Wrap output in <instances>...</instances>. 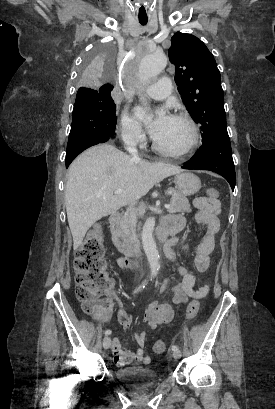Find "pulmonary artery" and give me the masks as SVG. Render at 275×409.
I'll return each mask as SVG.
<instances>
[{"label": "pulmonary artery", "instance_id": "obj_1", "mask_svg": "<svg viewBox=\"0 0 275 409\" xmlns=\"http://www.w3.org/2000/svg\"><path fill=\"white\" fill-rule=\"evenodd\" d=\"M169 77L165 76L164 79L159 81V85H151L148 91L150 97L160 100L163 99L167 94L174 93V86L168 85Z\"/></svg>", "mask_w": 275, "mask_h": 409}]
</instances>
